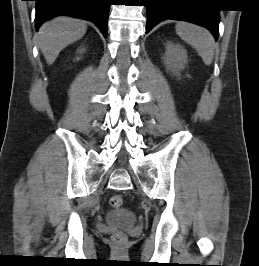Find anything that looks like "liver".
<instances>
[{
    "label": "liver",
    "mask_w": 259,
    "mask_h": 266,
    "mask_svg": "<svg viewBox=\"0 0 259 266\" xmlns=\"http://www.w3.org/2000/svg\"><path fill=\"white\" fill-rule=\"evenodd\" d=\"M86 30L84 21L71 17L61 16L44 23L39 29L38 46L46 62L53 64L59 53L81 39Z\"/></svg>",
    "instance_id": "liver-1"
}]
</instances>
